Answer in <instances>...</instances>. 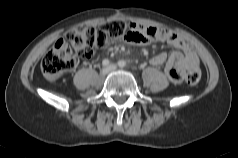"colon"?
Returning a JSON list of instances; mask_svg holds the SVG:
<instances>
[{
	"label": "colon",
	"instance_id": "5ec220e1",
	"mask_svg": "<svg viewBox=\"0 0 238 158\" xmlns=\"http://www.w3.org/2000/svg\"><path fill=\"white\" fill-rule=\"evenodd\" d=\"M131 33V24L121 20L109 21L98 27L71 30L44 56L42 74L49 81L57 80L74 67L76 55L89 58L98 49L107 47L111 40H126ZM200 79L201 71L198 68L189 70L185 76L189 85H196Z\"/></svg>",
	"mask_w": 238,
	"mask_h": 158
}]
</instances>
